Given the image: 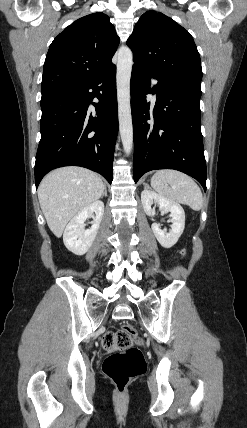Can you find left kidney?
<instances>
[{
  "mask_svg": "<svg viewBox=\"0 0 247 428\" xmlns=\"http://www.w3.org/2000/svg\"><path fill=\"white\" fill-rule=\"evenodd\" d=\"M141 202L143 209L148 216L155 215V209L151 207L153 203H156L159 206L161 213L164 214L170 212L172 227L169 232L160 229L157 223H153L151 228L161 246L164 248H171L176 244L184 231V209L175 201L146 188L141 193Z\"/></svg>",
  "mask_w": 247,
  "mask_h": 428,
  "instance_id": "obj_1",
  "label": "left kidney"
}]
</instances>
